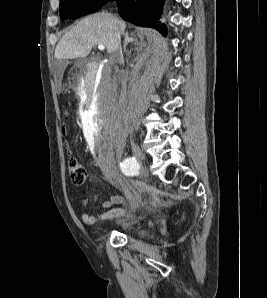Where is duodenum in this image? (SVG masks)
I'll return each mask as SVG.
<instances>
[{
  "label": "duodenum",
  "instance_id": "duodenum-1",
  "mask_svg": "<svg viewBox=\"0 0 267 298\" xmlns=\"http://www.w3.org/2000/svg\"><path fill=\"white\" fill-rule=\"evenodd\" d=\"M98 67H85L83 75V96L88 97L87 101H83V112H92L94 98L91 97L94 89L99 86L98 80Z\"/></svg>",
  "mask_w": 267,
  "mask_h": 298
}]
</instances>
